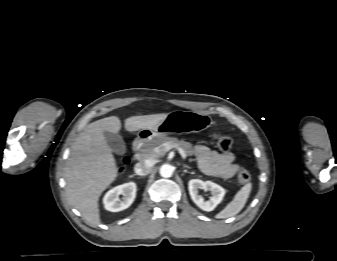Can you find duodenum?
<instances>
[{
    "label": "duodenum",
    "mask_w": 337,
    "mask_h": 261,
    "mask_svg": "<svg viewBox=\"0 0 337 261\" xmlns=\"http://www.w3.org/2000/svg\"><path fill=\"white\" fill-rule=\"evenodd\" d=\"M145 141V137L144 136H139L137 137L134 142H133V146H132V150L134 152L135 155L138 154L140 147L142 146L143 142Z\"/></svg>",
    "instance_id": "obj_1"
}]
</instances>
